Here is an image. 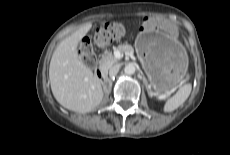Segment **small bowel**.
<instances>
[{"label":"small bowel","instance_id":"1","mask_svg":"<svg viewBox=\"0 0 230 155\" xmlns=\"http://www.w3.org/2000/svg\"><path fill=\"white\" fill-rule=\"evenodd\" d=\"M139 33H150L151 31L164 32L169 37L177 36L180 28L167 18H158L153 15H147L137 26Z\"/></svg>","mask_w":230,"mask_h":155}]
</instances>
